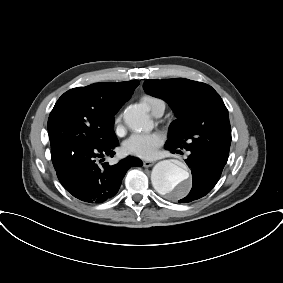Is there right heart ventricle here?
<instances>
[{"mask_svg":"<svg viewBox=\"0 0 283 283\" xmlns=\"http://www.w3.org/2000/svg\"><path fill=\"white\" fill-rule=\"evenodd\" d=\"M141 101L147 105L151 111L153 112L156 108H158L160 105L164 104L163 100L151 96V95H143L141 98Z\"/></svg>","mask_w":283,"mask_h":283,"instance_id":"1","label":"right heart ventricle"}]
</instances>
